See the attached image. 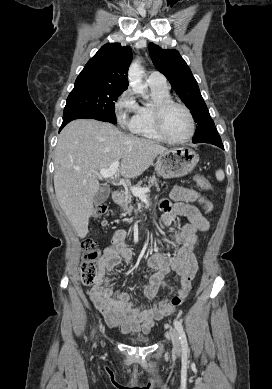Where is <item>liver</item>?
<instances>
[{
	"label": "liver",
	"mask_w": 272,
	"mask_h": 389,
	"mask_svg": "<svg viewBox=\"0 0 272 389\" xmlns=\"http://www.w3.org/2000/svg\"><path fill=\"white\" fill-rule=\"evenodd\" d=\"M166 150L155 141L127 135L107 122L78 119L67 124L55 148L54 188L77 235L84 238L88 233L101 169L121 160L120 175L137 178Z\"/></svg>",
	"instance_id": "6515ba94"
}]
</instances>
